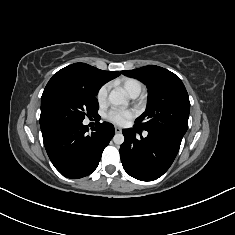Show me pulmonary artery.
<instances>
[{"label": "pulmonary artery", "instance_id": "e3ab8cb5", "mask_svg": "<svg viewBox=\"0 0 235 235\" xmlns=\"http://www.w3.org/2000/svg\"><path fill=\"white\" fill-rule=\"evenodd\" d=\"M138 95H139L138 92H134V93L130 94V97L131 98H136V97H138ZM144 136H147V132L144 133Z\"/></svg>", "mask_w": 235, "mask_h": 235}]
</instances>
